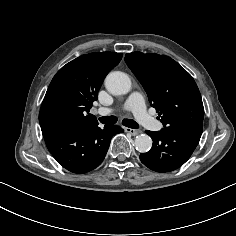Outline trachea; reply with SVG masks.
I'll use <instances>...</instances> for the list:
<instances>
[{
	"mask_svg": "<svg viewBox=\"0 0 236 236\" xmlns=\"http://www.w3.org/2000/svg\"><path fill=\"white\" fill-rule=\"evenodd\" d=\"M99 121L103 124H115L117 122V117L115 116H103L99 118ZM122 124L126 127L137 129L139 125L131 119H124Z\"/></svg>",
	"mask_w": 236,
	"mask_h": 236,
	"instance_id": "3493384b",
	"label": "trachea"
}]
</instances>
